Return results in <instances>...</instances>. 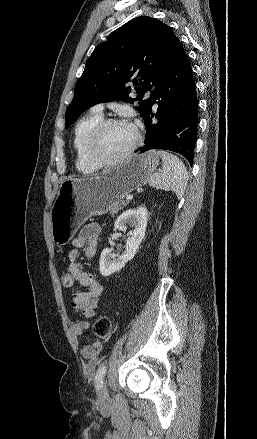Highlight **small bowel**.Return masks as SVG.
I'll list each match as a JSON object with an SVG mask.
<instances>
[{
	"mask_svg": "<svg viewBox=\"0 0 257 439\" xmlns=\"http://www.w3.org/2000/svg\"><path fill=\"white\" fill-rule=\"evenodd\" d=\"M100 227L97 224H90L83 227L78 236L72 240L73 248L68 253L70 261L68 272L74 281L78 282L83 289L76 291L70 301V306L75 313L82 314L85 318L95 315L99 306V298L103 292L102 285L90 273L81 269L78 260L81 257V249H84V256L94 258L100 236ZM90 324L86 320L78 319L72 325L73 333L81 336ZM102 349V342L96 338L91 344L81 345L80 353L86 361L85 369L91 371L95 368L99 354Z\"/></svg>",
	"mask_w": 257,
	"mask_h": 439,
	"instance_id": "small-bowel-1",
	"label": "small bowel"
}]
</instances>
